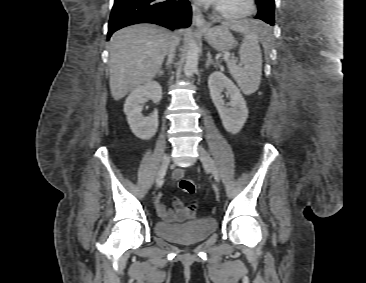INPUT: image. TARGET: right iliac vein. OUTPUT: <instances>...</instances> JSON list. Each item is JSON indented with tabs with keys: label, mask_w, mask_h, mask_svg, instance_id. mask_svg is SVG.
Here are the masks:
<instances>
[{
	"label": "right iliac vein",
	"mask_w": 366,
	"mask_h": 283,
	"mask_svg": "<svg viewBox=\"0 0 366 283\" xmlns=\"http://www.w3.org/2000/svg\"><path fill=\"white\" fill-rule=\"evenodd\" d=\"M169 162H170V157L165 156L162 161V164L158 170V173H157L156 184H159L161 182V179L164 176V174L168 168Z\"/></svg>",
	"instance_id": "1"
}]
</instances>
